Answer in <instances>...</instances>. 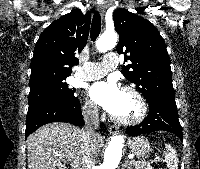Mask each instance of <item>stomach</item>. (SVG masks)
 I'll return each mask as SVG.
<instances>
[{
	"label": "stomach",
	"instance_id": "1",
	"mask_svg": "<svg viewBox=\"0 0 200 169\" xmlns=\"http://www.w3.org/2000/svg\"><path fill=\"white\" fill-rule=\"evenodd\" d=\"M129 148L138 158H147L150 153V144L144 137H136L130 140Z\"/></svg>",
	"mask_w": 200,
	"mask_h": 169
}]
</instances>
